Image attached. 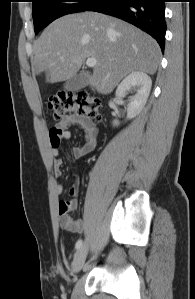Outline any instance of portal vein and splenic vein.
Segmentation results:
<instances>
[{
    "mask_svg": "<svg viewBox=\"0 0 195 299\" xmlns=\"http://www.w3.org/2000/svg\"><path fill=\"white\" fill-rule=\"evenodd\" d=\"M96 63H97V60H96L95 58H93V57L88 58V59L86 60V65H87L88 67H95Z\"/></svg>",
    "mask_w": 195,
    "mask_h": 299,
    "instance_id": "1",
    "label": "portal vein and splenic vein"
}]
</instances>
